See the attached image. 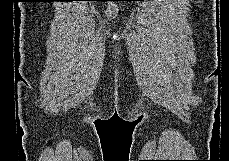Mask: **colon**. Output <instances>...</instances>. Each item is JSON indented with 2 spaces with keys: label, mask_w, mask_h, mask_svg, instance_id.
Wrapping results in <instances>:
<instances>
[{
  "label": "colon",
  "mask_w": 229,
  "mask_h": 161,
  "mask_svg": "<svg viewBox=\"0 0 229 161\" xmlns=\"http://www.w3.org/2000/svg\"><path fill=\"white\" fill-rule=\"evenodd\" d=\"M118 13V8L116 5L112 4L110 5L106 10V16L108 18H114Z\"/></svg>",
  "instance_id": "colon-1"
}]
</instances>
